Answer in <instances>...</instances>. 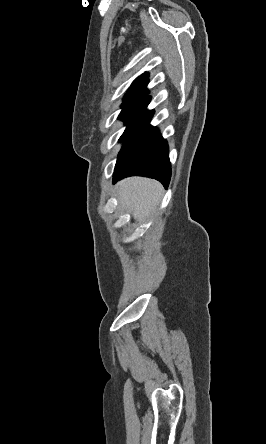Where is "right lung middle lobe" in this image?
Wrapping results in <instances>:
<instances>
[{
  "label": "right lung middle lobe",
  "mask_w": 266,
  "mask_h": 444,
  "mask_svg": "<svg viewBox=\"0 0 266 444\" xmlns=\"http://www.w3.org/2000/svg\"><path fill=\"white\" fill-rule=\"evenodd\" d=\"M150 100V97L124 99L119 118L125 122L127 127L119 139L120 142H123L121 151L149 126L154 113L153 110L146 109Z\"/></svg>",
  "instance_id": "obj_1"
}]
</instances>
